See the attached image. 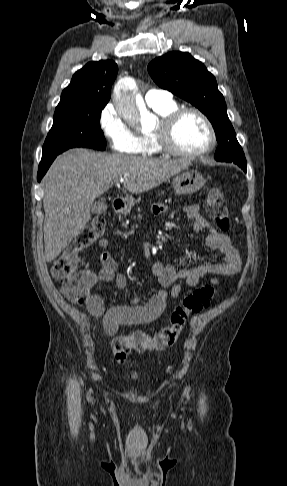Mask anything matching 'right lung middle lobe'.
<instances>
[{
	"mask_svg": "<svg viewBox=\"0 0 287 486\" xmlns=\"http://www.w3.org/2000/svg\"><path fill=\"white\" fill-rule=\"evenodd\" d=\"M106 104L89 102L57 106L53 126L43 145L42 159L74 147L105 150L100 116Z\"/></svg>",
	"mask_w": 287,
	"mask_h": 486,
	"instance_id": "right-lung-middle-lobe-1",
	"label": "right lung middle lobe"
}]
</instances>
